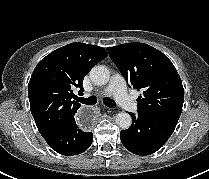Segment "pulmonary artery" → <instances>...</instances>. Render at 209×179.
I'll use <instances>...</instances> for the list:
<instances>
[{
	"instance_id": "e3ab8cb5",
	"label": "pulmonary artery",
	"mask_w": 209,
	"mask_h": 179,
	"mask_svg": "<svg viewBox=\"0 0 209 179\" xmlns=\"http://www.w3.org/2000/svg\"><path fill=\"white\" fill-rule=\"evenodd\" d=\"M101 96L113 95L117 103L125 110L129 112L137 111V104L127 93L126 85L123 77L119 74H115L105 88V90L100 94Z\"/></svg>"
}]
</instances>
